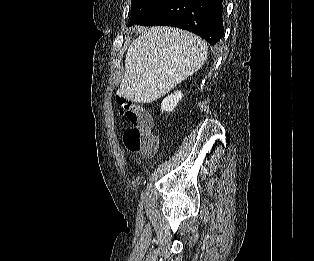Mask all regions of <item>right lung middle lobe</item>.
<instances>
[{
    "label": "right lung middle lobe",
    "instance_id": "obj_1",
    "mask_svg": "<svg viewBox=\"0 0 314 261\" xmlns=\"http://www.w3.org/2000/svg\"><path fill=\"white\" fill-rule=\"evenodd\" d=\"M167 1L169 0H131L130 25L144 20Z\"/></svg>",
    "mask_w": 314,
    "mask_h": 261
}]
</instances>
